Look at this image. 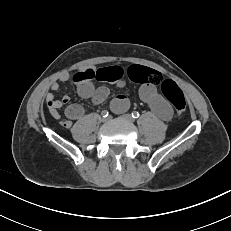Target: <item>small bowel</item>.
I'll return each instance as SVG.
<instances>
[{
    "label": "small bowel",
    "instance_id": "1",
    "mask_svg": "<svg viewBox=\"0 0 231 231\" xmlns=\"http://www.w3.org/2000/svg\"><path fill=\"white\" fill-rule=\"evenodd\" d=\"M77 75L80 76L78 81L77 92L84 99H91L94 104L104 102L109 90L107 87L101 86L96 88L94 81L111 82L118 86H122L125 82V77H130V69L125 71L120 66H111L106 68L87 67L80 71ZM70 79L69 73H62L59 76V81L66 82ZM60 84L54 81L50 85L51 92L45 96L46 104L50 114L64 128H71L73 121L80 119L84 115V108L79 104H70V98L64 95L61 100H56L54 92L58 91ZM139 96L143 102L148 104L152 112L163 120H169L172 117L173 111L163 92L157 90L154 85L142 83L139 88ZM66 106L62 118L59 109ZM129 108V101L124 95H119L111 102V109L115 113H121Z\"/></svg>",
    "mask_w": 231,
    "mask_h": 231
}]
</instances>
